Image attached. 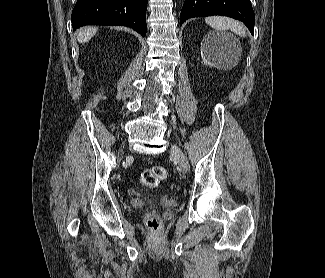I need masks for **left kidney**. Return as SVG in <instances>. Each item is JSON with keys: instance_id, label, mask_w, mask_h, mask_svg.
<instances>
[{"instance_id": "obj_1", "label": "left kidney", "mask_w": 325, "mask_h": 278, "mask_svg": "<svg viewBox=\"0 0 325 278\" xmlns=\"http://www.w3.org/2000/svg\"><path fill=\"white\" fill-rule=\"evenodd\" d=\"M206 42L202 44L201 46V58L203 60V63L205 65H208L210 67H215V59L219 56L221 53V50L225 47V44L221 39L218 38H206Z\"/></svg>"}]
</instances>
